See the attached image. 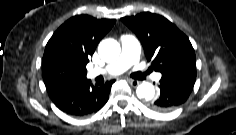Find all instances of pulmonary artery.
I'll return each mask as SVG.
<instances>
[{"label":"pulmonary artery","mask_w":236,"mask_h":135,"mask_svg":"<svg viewBox=\"0 0 236 135\" xmlns=\"http://www.w3.org/2000/svg\"><path fill=\"white\" fill-rule=\"evenodd\" d=\"M120 41L122 44L121 56L115 62L104 68L91 69L89 72L91 77L99 74L118 75L138 62L140 52L138 39L134 35L126 34L121 36ZM161 76V73H156L154 79L159 81Z\"/></svg>","instance_id":"1"}]
</instances>
